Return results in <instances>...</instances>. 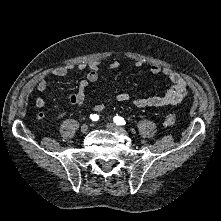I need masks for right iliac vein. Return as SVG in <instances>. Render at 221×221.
I'll list each match as a JSON object with an SVG mask.
<instances>
[{"instance_id":"1","label":"right iliac vein","mask_w":221,"mask_h":221,"mask_svg":"<svg viewBox=\"0 0 221 221\" xmlns=\"http://www.w3.org/2000/svg\"><path fill=\"white\" fill-rule=\"evenodd\" d=\"M80 130H81L82 133H86V132L88 131V125L83 124V125L81 126Z\"/></svg>"}]
</instances>
